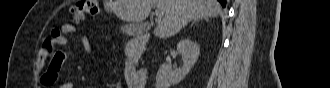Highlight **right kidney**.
<instances>
[{
	"mask_svg": "<svg viewBox=\"0 0 330 88\" xmlns=\"http://www.w3.org/2000/svg\"><path fill=\"white\" fill-rule=\"evenodd\" d=\"M177 51L183 60L182 68L173 70L170 65L162 64L156 75V88H169L182 81L195 65L200 54V47L187 38L179 41Z\"/></svg>",
	"mask_w": 330,
	"mask_h": 88,
	"instance_id": "ca27d5eb",
	"label": "right kidney"
}]
</instances>
